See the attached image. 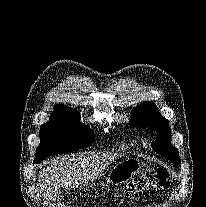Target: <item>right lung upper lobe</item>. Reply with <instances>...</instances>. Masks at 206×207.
Returning <instances> with one entry per match:
<instances>
[{
	"mask_svg": "<svg viewBox=\"0 0 206 207\" xmlns=\"http://www.w3.org/2000/svg\"><path fill=\"white\" fill-rule=\"evenodd\" d=\"M56 110H66V111H72V112H76L75 110L67 107V106H64V105H58L55 107Z\"/></svg>",
	"mask_w": 206,
	"mask_h": 207,
	"instance_id": "obj_1",
	"label": "right lung upper lobe"
}]
</instances>
